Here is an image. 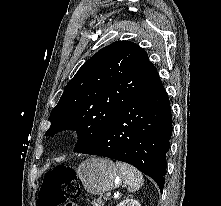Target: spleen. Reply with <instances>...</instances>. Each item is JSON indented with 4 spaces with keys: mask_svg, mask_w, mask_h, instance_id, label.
I'll use <instances>...</instances> for the list:
<instances>
[{
    "mask_svg": "<svg viewBox=\"0 0 221 206\" xmlns=\"http://www.w3.org/2000/svg\"><path fill=\"white\" fill-rule=\"evenodd\" d=\"M123 174L124 183L128 187L129 192H135L143 185V175L140 171L126 163L116 162Z\"/></svg>",
    "mask_w": 221,
    "mask_h": 206,
    "instance_id": "3e777b00",
    "label": "spleen"
}]
</instances>
